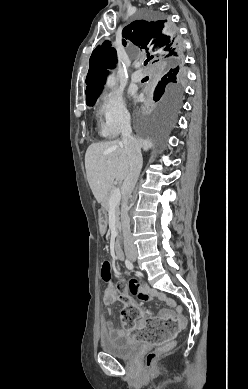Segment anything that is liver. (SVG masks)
I'll list each match as a JSON object with an SVG mask.
<instances>
[{
    "instance_id": "obj_1",
    "label": "liver",
    "mask_w": 248,
    "mask_h": 389,
    "mask_svg": "<svg viewBox=\"0 0 248 389\" xmlns=\"http://www.w3.org/2000/svg\"><path fill=\"white\" fill-rule=\"evenodd\" d=\"M137 141L144 151L153 146L150 140ZM85 168L92 193L102 203L114 180L123 181L129 172L124 145L118 140L91 144L85 154Z\"/></svg>"
}]
</instances>
